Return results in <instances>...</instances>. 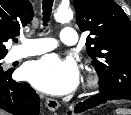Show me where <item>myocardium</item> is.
I'll return each mask as SVG.
<instances>
[{"instance_id": "obj_1", "label": "myocardium", "mask_w": 131, "mask_h": 115, "mask_svg": "<svg viewBox=\"0 0 131 115\" xmlns=\"http://www.w3.org/2000/svg\"><path fill=\"white\" fill-rule=\"evenodd\" d=\"M99 82L100 76L96 72H93L87 78V87L95 88L99 85Z\"/></svg>"}]
</instances>
